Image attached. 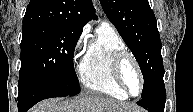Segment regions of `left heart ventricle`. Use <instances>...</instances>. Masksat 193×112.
Here are the masks:
<instances>
[{
	"label": "left heart ventricle",
	"mask_w": 193,
	"mask_h": 112,
	"mask_svg": "<svg viewBox=\"0 0 193 112\" xmlns=\"http://www.w3.org/2000/svg\"><path fill=\"white\" fill-rule=\"evenodd\" d=\"M123 76L125 82L133 94H137L140 89V82L132 62L127 61L123 67Z\"/></svg>",
	"instance_id": "obj_1"
}]
</instances>
